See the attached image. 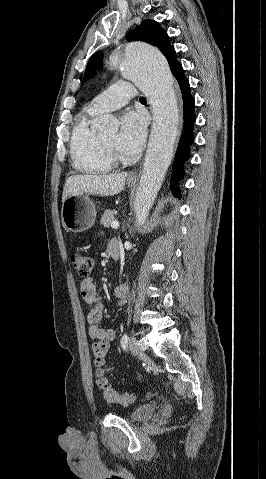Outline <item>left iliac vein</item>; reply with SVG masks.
Returning a JSON list of instances; mask_svg holds the SVG:
<instances>
[{"label": "left iliac vein", "mask_w": 266, "mask_h": 479, "mask_svg": "<svg viewBox=\"0 0 266 479\" xmlns=\"http://www.w3.org/2000/svg\"><path fill=\"white\" fill-rule=\"evenodd\" d=\"M129 349L136 356H143L144 351L142 350L139 342L135 337H131L129 340Z\"/></svg>", "instance_id": "left-iliac-vein-1"}]
</instances>
